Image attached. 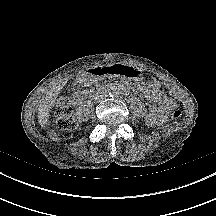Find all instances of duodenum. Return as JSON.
I'll list each match as a JSON object with an SVG mask.
<instances>
[{
	"label": "duodenum",
	"instance_id": "410a0bca",
	"mask_svg": "<svg viewBox=\"0 0 216 216\" xmlns=\"http://www.w3.org/2000/svg\"><path fill=\"white\" fill-rule=\"evenodd\" d=\"M101 70H102V68H96V69L90 70L89 74L91 76H101L102 75ZM108 88H109L108 86H102L100 88H97L96 90L78 92V93L74 94V96L72 98V103L78 104V103H81L85 100L97 97V96L103 94Z\"/></svg>",
	"mask_w": 216,
	"mask_h": 216
}]
</instances>
